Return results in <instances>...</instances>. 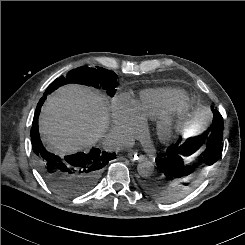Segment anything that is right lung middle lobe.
Returning a JSON list of instances; mask_svg holds the SVG:
<instances>
[{"mask_svg":"<svg viewBox=\"0 0 245 245\" xmlns=\"http://www.w3.org/2000/svg\"><path fill=\"white\" fill-rule=\"evenodd\" d=\"M116 78L117 75L113 71H109L102 67L77 68L70 71L66 76L55 79L54 82L48 86L44 94H49L67 83H77L93 86L95 88L101 87L112 97L115 92Z\"/></svg>","mask_w":245,"mask_h":245,"instance_id":"dd1d6c3e","label":"right lung middle lobe"}]
</instances>
